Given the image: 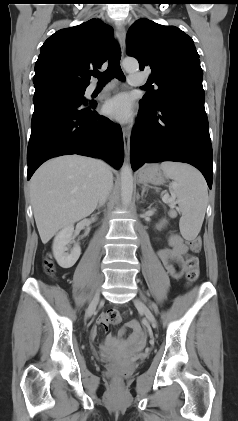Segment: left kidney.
Here are the masks:
<instances>
[{"label": "left kidney", "mask_w": 238, "mask_h": 421, "mask_svg": "<svg viewBox=\"0 0 238 421\" xmlns=\"http://www.w3.org/2000/svg\"><path fill=\"white\" fill-rule=\"evenodd\" d=\"M166 223V220L161 221V225H164Z\"/></svg>", "instance_id": "left-kidney-1"}]
</instances>
